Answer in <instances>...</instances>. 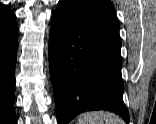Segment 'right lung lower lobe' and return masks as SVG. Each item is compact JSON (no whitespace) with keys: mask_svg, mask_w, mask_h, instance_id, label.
Wrapping results in <instances>:
<instances>
[{"mask_svg":"<svg viewBox=\"0 0 156 124\" xmlns=\"http://www.w3.org/2000/svg\"><path fill=\"white\" fill-rule=\"evenodd\" d=\"M17 33V26L0 28V124H16L13 104Z\"/></svg>","mask_w":156,"mask_h":124,"instance_id":"obj_1","label":"right lung lower lobe"}]
</instances>
